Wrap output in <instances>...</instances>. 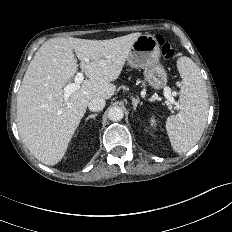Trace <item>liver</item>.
<instances>
[{"label": "liver", "instance_id": "6515ba94", "mask_svg": "<svg viewBox=\"0 0 232 232\" xmlns=\"http://www.w3.org/2000/svg\"><path fill=\"white\" fill-rule=\"evenodd\" d=\"M142 34L107 39L52 38L30 62L17 95V127L30 153L45 165L61 161L89 102L114 95L131 47ZM88 79L67 101L63 88L77 72ZM88 59L87 62L85 60Z\"/></svg>", "mask_w": 232, "mask_h": 232}]
</instances>
